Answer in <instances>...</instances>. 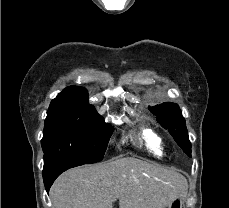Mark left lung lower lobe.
<instances>
[{"mask_svg":"<svg viewBox=\"0 0 229 208\" xmlns=\"http://www.w3.org/2000/svg\"><path fill=\"white\" fill-rule=\"evenodd\" d=\"M185 153H186L189 157H191V149L186 150Z\"/></svg>","mask_w":229,"mask_h":208,"instance_id":"0a47b994","label":"left lung lower lobe"}]
</instances>
